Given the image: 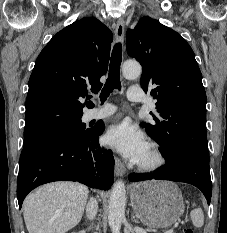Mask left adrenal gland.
<instances>
[{"label": "left adrenal gland", "mask_w": 227, "mask_h": 233, "mask_svg": "<svg viewBox=\"0 0 227 233\" xmlns=\"http://www.w3.org/2000/svg\"><path fill=\"white\" fill-rule=\"evenodd\" d=\"M132 221L135 223H139V221L135 218L134 213L132 214Z\"/></svg>", "instance_id": "left-adrenal-gland-1"}]
</instances>
